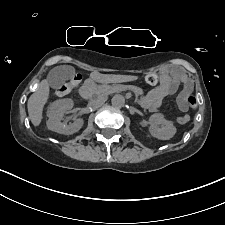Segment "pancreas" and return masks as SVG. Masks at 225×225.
<instances>
[{"mask_svg": "<svg viewBox=\"0 0 225 225\" xmlns=\"http://www.w3.org/2000/svg\"><path fill=\"white\" fill-rule=\"evenodd\" d=\"M131 90L133 91L135 94L137 95H143V89H141L140 87L137 86H129V85H99L96 87V90L102 94H110V93H114V92H121L124 90Z\"/></svg>", "mask_w": 225, "mask_h": 225, "instance_id": "obj_1", "label": "pancreas"}]
</instances>
